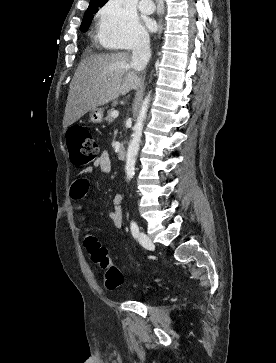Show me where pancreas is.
Instances as JSON below:
<instances>
[{
    "label": "pancreas",
    "instance_id": "pancreas-1",
    "mask_svg": "<svg viewBox=\"0 0 276 363\" xmlns=\"http://www.w3.org/2000/svg\"><path fill=\"white\" fill-rule=\"evenodd\" d=\"M112 111H113V109L109 110V111H108V115H107V117L105 118V120H106V121H108V122H112V121H113V119H114V118L112 117V115H111Z\"/></svg>",
    "mask_w": 276,
    "mask_h": 363
}]
</instances>
